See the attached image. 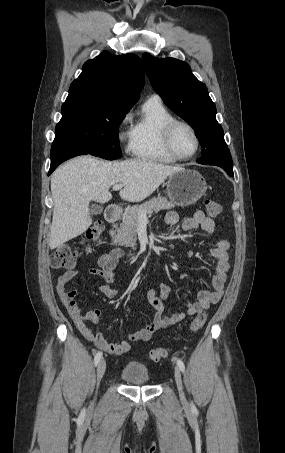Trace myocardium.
<instances>
[{
  "label": "myocardium",
  "mask_w": 285,
  "mask_h": 453,
  "mask_svg": "<svg viewBox=\"0 0 285 453\" xmlns=\"http://www.w3.org/2000/svg\"><path fill=\"white\" fill-rule=\"evenodd\" d=\"M178 126L186 127L191 132V134L195 140V150L190 155H187V156L181 155L174 148L173 135H174L175 129ZM163 144H164V147L167 150V152L170 155H172L174 158H176L178 160H188L197 154L199 147H200V140H199L196 130L190 123L183 121V120L174 119V120L170 121L169 123H167L163 129Z\"/></svg>",
  "instance_id": "f54148a6"
}]
</instances>
